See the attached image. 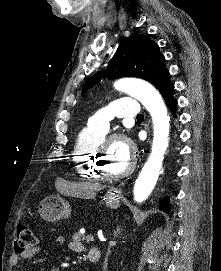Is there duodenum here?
Here are the masks:
<instances>
[{
	"instance_id": "1",
	"label": "duodenum",
	"mask_w": 221,
	"mask_h": 271,
	"mask_svg": "<svg viewBox=\"0 0 221 271\" xmlns=\"http://www.w3.org/2000/svg\"><path fill=\"white\" fill-rule=\"evenodd\" d=\"M100 259V251L98 249H92L88 254V260L91 263H96Z\"/></svg>"
}]
</instances>
